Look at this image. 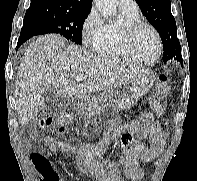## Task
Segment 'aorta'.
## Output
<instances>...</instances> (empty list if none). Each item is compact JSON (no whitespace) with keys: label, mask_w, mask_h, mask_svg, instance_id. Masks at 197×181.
<instances>
[{"label":"aorta","mask_w":197,"mask_h":181,"mask_svg":"<svg viewBox=\"0 0 197 181\" xmlns=\"http://www.w3.org/2000/svg\"><path fill=\"white\" fill-rule=\"evenodd\" d=\"M98 10L105 17H113L116 14V0H94Z\"/></svg>","instance_id":"aorta-1"}]
</instances>
